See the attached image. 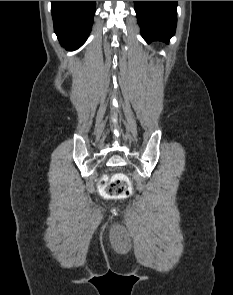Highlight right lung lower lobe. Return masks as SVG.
I'll use <instances>...</instances> for the list:
<instances>
[{
  "label": "right lung lower lobe",
  "mask_w": 233,
  "mask_h": 295,
  "mask_svg": "<svg viewBox=\"0 0 233 295\" xmlns=\"http://www.w3.org/2000/svg\"><path fill=\"white\" fill-rule=\"evenodd\" d=\"M54 31L66 50L79 48L87 39L95 14V1H51Z\"/></svg>",
  "instance_id": "right-lung-lower-lobe-1"
}]
</instances>
